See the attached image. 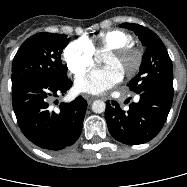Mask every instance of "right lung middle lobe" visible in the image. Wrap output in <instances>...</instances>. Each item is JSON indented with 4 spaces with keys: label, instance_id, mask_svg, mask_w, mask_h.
<instances>
[{
    "label": "right lung middle lobe",
    "instance_id": "1",
    "mask_svg": "<svg viewBox=\"0 0 187 187\" xmlns=\"http://www.w3.org/2000/svg\"><path fill=\"white\" fill-rule=\"evenodd\" d=\"M68 43L67 35L46 32L26 39L12 62V86L24 80L67 79L60 57Z\"/></svg>",
    "mask_w": 187,
    "mask_h": 187
}]
</instances>
